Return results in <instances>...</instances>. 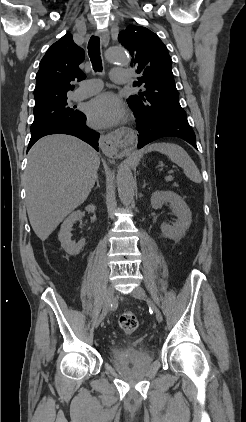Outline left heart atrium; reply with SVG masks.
Returning a JSON list of instances; mask_svg holds the SVG:
<instances>
[{"label":"left heart atrium","mask_w":246,"mask_h":422,"mask_svg":"<svg viewBox=\"0 0 246 422\" xmlns=\"http://www.w3.org/2000/svg\"><path fill=\"white\" fill-rule=\"evenodd\" d=\"M87 115L92 126L98 128L111 127L122 121L124 108L116 95L105 92L89 102Z\"/></svg>","instance_id":"1"}]
</instances>
